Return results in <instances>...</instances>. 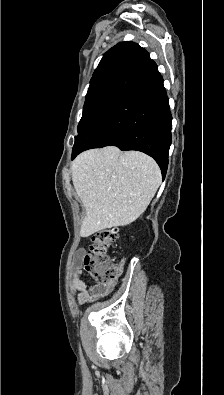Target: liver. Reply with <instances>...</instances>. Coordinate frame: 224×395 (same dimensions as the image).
<instances>
[{
    "label": "liver",
    "instance_id": "liver-1",
    "mask_svg": "<svg viewBox=\"0 0 224 395\" xmlns=\"http://www.w3.org/2000/svg\"><path fill=\"white\" fill-rule=\"evenodd\" d=\"M72 181L86 211L81 237L135 221L148 207L161 184L154 159L117 147L92 149L73 161Z\"/></svg>",
    "mask_w": 224,
    "mask_h": 395
}]
</instances>
